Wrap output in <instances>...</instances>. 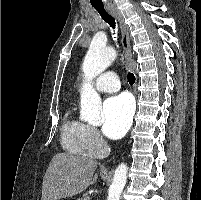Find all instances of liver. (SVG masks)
<instances>
[{
  "label": "liver",
  "mask_w": 201,
  "mask_h": 200,
  "mask_svg": "<svg viewBox=\"0 0 201 200\" xmlns=\"http://www.w3.org/2000/svg\"><path fill=\"white\" fill-rule=\"evenodd\" d=\"M97 162L88 157L68 153L56 154L44 175L41 200L72 197L94 184Z\"/></svg>",
  "instance_id": "obj_1"
}]
</instances>
